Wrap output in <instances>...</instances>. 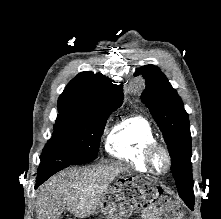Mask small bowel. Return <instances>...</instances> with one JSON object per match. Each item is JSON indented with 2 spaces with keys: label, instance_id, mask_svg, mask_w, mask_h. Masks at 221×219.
I'll return each instance as SVG.
<instances>
[{
  "label": "small bowel",
  "instance_id": "small-bowel-1",
  "mask_svg": "<svg viewBox=\"0 0 221 219\" xmlns=\"http://www.w3.org/2000/svg\"><path fill=\"white\" fill-rule=\"evenodd\" d=\"M144 219H154L155 217V211L152 207H149L144 210L143 212Z\"/></svg>",
  "mask_w": 221,
  "mask_h": 219
}]
</instances>
